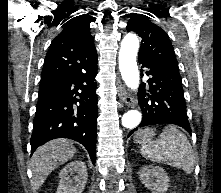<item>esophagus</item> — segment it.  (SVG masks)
Listing matches in <instances>:
<instances>
[{"label": "esophagus", "mask_w": 221, "mask_h": 193, "mask_svg": "<svg viewBox=\"0 0 221 193\" xmlns=\"http://www.w3.org/2000/svg\"><path fill=\"white\" fill-rule=\"evenodd\" d=\"M119 98L129 107H135L136 106V99L128 94L127 89L124 85L120 87L119 90Z\"/></svg>", "instance_id": "34e87169"}]
</instances>
